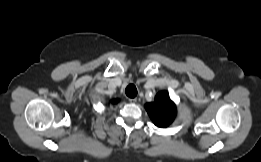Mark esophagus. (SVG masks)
I'll list each match as a JSON object with an SVG mask.
<instances>
[{"label":"esophagus","mask_w":261,"mask_h":162,"mask_svg":"<svg viewBox=\"0 0 261 162\" xmlns=\"http://www.w3.org/2000/svg\"><path fill=\"white\" fill-rule=\"evenodd\" d=\"M136 101H137L136 98H129V102H131V103H135Z\"/></svg>","instance_id":"34e87169"}]
</instances>
